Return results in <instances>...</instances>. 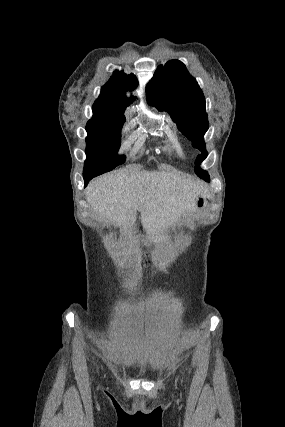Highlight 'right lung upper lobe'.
<instances>
[{"label":"right lung upper lobe","mask_w":285,"mask_h":427,"mask_svg":"<svg viewBox=\"0 0 285 427\" xmlns=\"http://www.w3.org/2000/svg\"><path fill=\"white\" fill-rule=\"evenodd\" d=\"M138 85L134 74L127 75L123 71H115L110 80L101 88V94L93 104V117L87 126H106L123 124L125 117L123 112L135 99L127 98L125 92L132 91Z\"/></svg>","instance_id":"cb5924a9"}]
</instances>
